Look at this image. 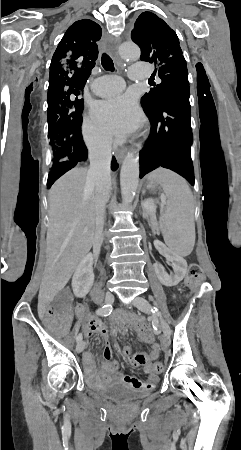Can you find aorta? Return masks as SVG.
Wrapping results in <instances>:
<instances>
[{"label":"aorta","instance_id":"762f6f07","mask_svg":"<svg viewBox=\"0 0 241 450\" xmlns=\"http://www.w3.org/2000/svg\"><path fill=\"white\" fill-rule=\"evenodd\" d=\"M119 52L124 59L137 60L140 58V49L134 43H123ZM139 173L138 153L131 151L124 158L120 172L121 195L125 204H130L134 200L139 183Z\"/></svg>","mask_w":241,"mask_h":450}]
</instances>
